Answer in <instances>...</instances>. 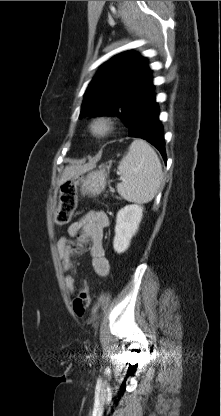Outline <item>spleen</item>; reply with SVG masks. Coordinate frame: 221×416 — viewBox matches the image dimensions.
Here are the masks:
<instances>
[{
    "instance_id": "1",
    "label": "spleen",
    "mask_w": 221,
    "mask_h": 416,
    "mask_svg": "<svg viewBox=\"0 0 221 416\" xmlns=\"http://www.w3.org/2000/svg\"><path fill=\"white\" fill-rule=\"evenodd\" d=\"M122 175L118 193L127 201L147 203L158 192L163 179L161 162L144 140L135 139L119 164Z\"/></svg>"
}]
</instances>
